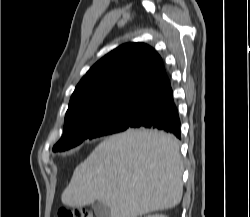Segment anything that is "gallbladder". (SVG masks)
Here are the masks:
<instances>
[{
  "instance_id": "1",
  "label": "gallbladder",
  "mask_w": 250,
  "mask_h": 217,
  "mask_svg": "<svg viewBox=\"0 0 250 217\" xmlns=\"http://www.w3.org/2000/svg\"><path fill=\"white\" fill-rule=\"evenodd\" d=\"M92 208L96 214V217H111L110 208L101 202L93 203Z\"/></svg>"
}]
</instances>
